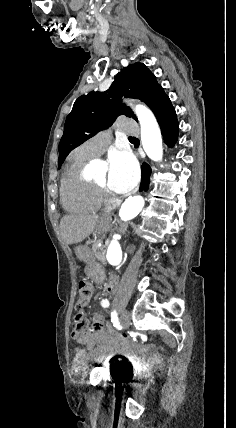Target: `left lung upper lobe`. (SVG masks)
Here are the masks:
<instances>
[{
    "instance_id": "1",
    "label": "left lung upper lobe",
    "mask_w": 236,
    "mask_h": 428,
    "mask_svg": "<svg viewBox=\"0 0 236 428\" xmlns=\"http://www.w3.org/2000/svg\"><path fill=\"white\" fill-rule=\"evenodd\" d=\"M123 96L144 101L154 114L171 103L155 76L143 63L123 68L107 91L90 92L75 101L66 118L59 143V168L74 148L111 125L119 115L137 120L133 111L121 103Z\"/></svg>"
}]
</instances>
